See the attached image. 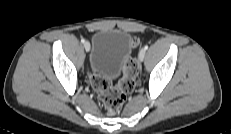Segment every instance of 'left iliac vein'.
Wrapping results in <instances>:
<instances>
[{"mask_svg":"<svg viewBox=\"0 0 231 134\" xmlns=\"http://www.w3.org/2000/svg\"><path fill=\"white\" fill-rule=\"evenodd\" d=\"M145 54H146V50H145V49H141V50L139 51V54H138V59H139V61L142 62V61L144 60Z\"/></svg>","mask_w":231,"mask_h":134,"instance_id":"obj_1","label":"left iliac vein"}]
</instances>
